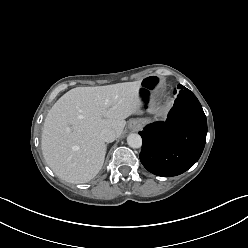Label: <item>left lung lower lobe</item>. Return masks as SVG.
<instances>
[{"mask_svg": "<svg viewBox=\"0 0 248 248\" xmlns=\"http://www.w3.org/2000/svg\"><path fill=\"white\" fill-rule=\"evenodd\" d=\"M140 160L151 173L170 177L182 174L200 158L207 134V120L196 96L181 89L165 122L147 125Z\"/></svg>", "mask_w": 248, "mask_h": 248, "instance_id": "1", "label": "left lung lower lobe"}]
</instances>
